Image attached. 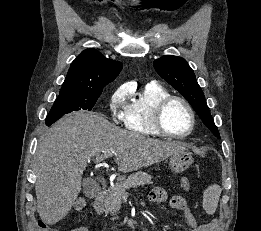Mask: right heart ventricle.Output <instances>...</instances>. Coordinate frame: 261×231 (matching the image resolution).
Masks as SVG:
<instances>
[{
    "label": "right heart ventricle",
    "instance_id": "obj_1",
    "mask_svg": "<svg viewBox=\"0 0 261 231\" xmlns=\"http://www.w3.org/2000/svg\"><path fill=\"white\" fill-rule=\"evenodd\" d=\"M131 99L125 106L123 124L127 130L143 136H161L154 123V113L157 104L170 95L164 87L150 83L131 92Z\"/></svg>",
    "mask_w": 261,
    "mask_h": 231
}]
</instances>
